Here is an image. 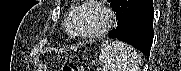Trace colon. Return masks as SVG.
I'll use <instances>...</instances> for the list:
<instances>
[{
	"label": "colon",
	"mask_w": 181,
	"mask_h": 71,
	"mask_svg": "<svg viewBox=\"0 0 181 71\" xmlns=\"http://www.w3.org/2000/svg\"><path fill=\"white\" fill-rule=\"evenodd\" d=\"M62 71H83V69H81L75 65L68 64V65L63 66Z\"/></svg>",
	"instance_id": "1"
}]
</instances>
